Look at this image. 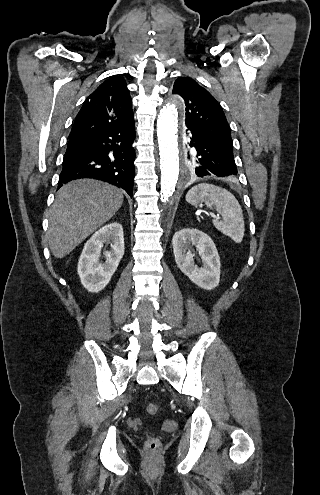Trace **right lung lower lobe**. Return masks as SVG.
<instances>
[{"instance_id": "obj_1", "label": "right lung lower lobe", "mask_w": 320, "mask_h": 495, "mask_svg": "<svg viewBox=\"0 0 320 495\" xmlns=\"http://www.w3.org/2000/svg\"><path fill=\"white\" fill-rule=\"evenodd\" d=\"M134 122L70 138L58 188L80 178H94L123 188L131 197L135 176Z\"/></svg>"}]
</instances>
